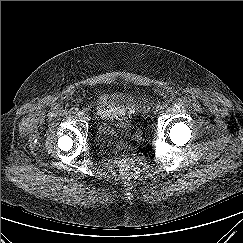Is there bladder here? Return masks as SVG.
<instances>
[{"instance_id":"31cf9c89","label":"bladder","mask_w":243,"mask_h":243,"mask_svg":"<svg viewBox=\"0 0 243 243\" xmlns=\"http://www.w3.org/2000/svg\"><path fill=\"white\" fill-rule=\"evenodd\" d=\"M126 122L125 127H119L107 121L100 122L95 128V141L101 146H117L139 141L142 137V130L138 125V116L134 109H129Z\"/></svg>"}]
</instances>
